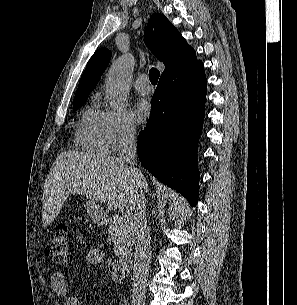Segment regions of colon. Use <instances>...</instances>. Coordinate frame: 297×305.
<instances>
[{"mask_svg": "<svg viewBox=\"0 0 297 305\" xmlns=\"http://www.w3.org/2000/svg\"><path fill=\"white\" fill-rule=\"evenodd\" d=\"M69 231L65 223L57 226L53 237L47 245V252L51 260L57 265H66L70 262Z\"/></svg>", "mask_w": 297, "mask_h": 305, "instance_id": "1", "label": "colon"}]
</instances>
